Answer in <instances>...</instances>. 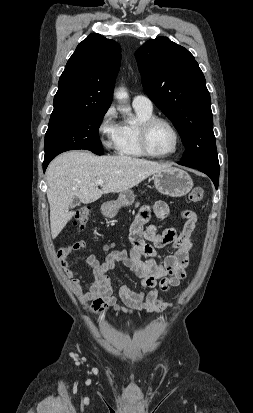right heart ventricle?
<instances>
[{"label":"right heart ventricle","instance_id":"1","mask_svg":"<svg viewBox=\"0 0 253 413\" xmlns=\"http://www.w3.org/2000/svg\"><path fill=\"white\" fill-rule=\"evenodd\" d=\"M138 122L122 124V140L119 147V153L125 157L141 158L146 156L139 145L138 125L142 120L153 116L152 111L135 108Z\"/></svg>","mask_w":253,"mask_h":413}]
</instances>
